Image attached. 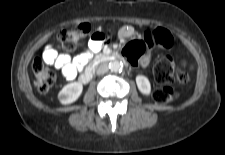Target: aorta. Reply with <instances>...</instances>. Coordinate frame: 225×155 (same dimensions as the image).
Returning a JSON list of instances; mask_svg holds the SVG:
<instances>
[{"mask_svg":"<svg viewBox=\"0 0 225 155\" xmlns=\"http://www.w3.org/2000/svg\"><path fill=\"white\" fill-rule=\"evenodd\" d=\"M109 69L112 72H121L122 69H123V63L119 62L117 60L112 61V62L109 63Z\"/></svg>","mask_w":225,"mask_h":155,"instance_id":"obj_1","label":"aorta"}]
</instances>
